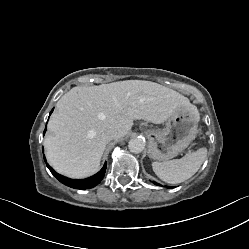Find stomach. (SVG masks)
Listing matches in <instances>:
<instances>
[{"label":"stomach","instance_id":"obj_1","mask_svg":"<svg viewBox=\"0 0 249 249\" xmlns=\"http://www.w3.org/2000/svg\"><path fill=\"white\" fill-rule=\"evenodd\" d=\"M199 113L189 107L176 110L163 129H149L148 155L158 161H167L182 153L196 138Z\"/></svg>","mask_w":249,"mask_h":249}]
</instances>
